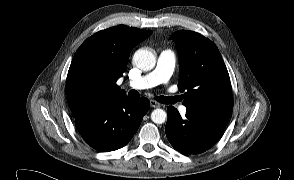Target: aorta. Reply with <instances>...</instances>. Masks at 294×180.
Wrapping results in <instances>:
<instances>
[{"label":"aorta","instance_id":"1","mask_svg":"<svg viewBox=\"0 0 294 180\" xmlns=\"http://www.w3.org/2000/svg\"><path fill=\"white\" fill-rule=\"evenodd\" d=\"M134 64L143 71L152 70L156 64L155 55L148 49H139L133 56ZM167 114L163 109H155L151 113V120L156 124H162L166 121Z\"/></svg>","mask_w":294,"mask_h":180}]
</instances>
